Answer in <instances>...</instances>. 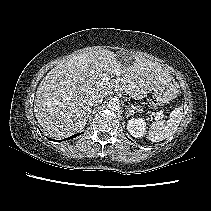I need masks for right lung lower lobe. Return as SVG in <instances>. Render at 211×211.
Returning a JSON list of instances; mask_svg holds the SVG:
<instances>
[{
    "label": "right lung lower lobe",
    "instance_id": "1",
    "mask_svg": "<svg viewBox=\"0 0 211 211\" xmlns=\"http://www.w3.org/2000/svg\"><path fill=\"white\" fill-rule=\"evenodd\" d=\"M80 134H81V133L75 134V135H73V136H71V137H69V138H67V139L75 138V137L79 136ZM48 139H50V138H48ZM50 140H53V139H50ZM54 141L58 142V141H60V140H54Z\"/></svg>",
    "mask_w": 211,
    "mask_h": 211
}]
</instances>
